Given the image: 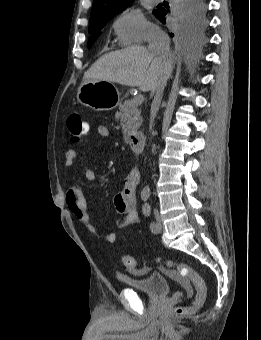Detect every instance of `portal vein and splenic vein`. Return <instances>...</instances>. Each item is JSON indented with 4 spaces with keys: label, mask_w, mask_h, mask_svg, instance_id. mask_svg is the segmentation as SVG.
Masks as SVG:
<instances>
[{
    "label": "portal vein and splenic vein",
    "mask_w": 261,
    "mask_h": 340,
    "mask_svg": "<svg viewBox=\"0 0 261 340\" xmlns=\"http://www.w3.org/2000/svg\"><path fill=\"white\" fill-rule=\"evenodd\" d=\"M144 101V96L142 94L136 95L131 100V106H138Z\"/></svg>",
    "instance_id": "18ae733b"
}]
</instances>
